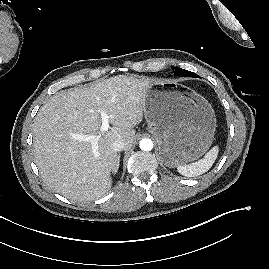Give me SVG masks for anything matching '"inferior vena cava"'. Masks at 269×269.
<instances>
[{
	"mask_svg": "<svg viewBox=\"0 0 269 269\" xmlns=\"http://www.w3.org/2000/svg\"><path fill=\"white\" fill-rule=\"evenodd\" d=\"M125 148V143L122 140H116L112 143V149L115 152L122 151Z\"/></svg>",
	"mask_w": 269,
	"mask_h": 269,
	"instance_id": "602c4592",
	"label": "inferior vena cava"
}]
</instances>
